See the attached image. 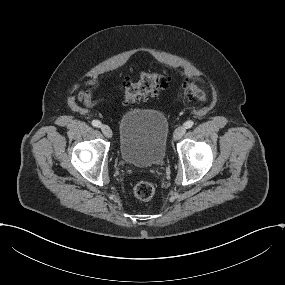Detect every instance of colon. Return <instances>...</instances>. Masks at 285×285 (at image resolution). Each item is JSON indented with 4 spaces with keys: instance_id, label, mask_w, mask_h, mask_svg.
<instances>
[{
    "instance_id": "colon-1",
    "label": "colon",
    "mask_w": 285,
    "mask_h": 285,
    "mask_svg": "<svg viewBox=\"0 0 285 285\" xmlns=\"http://www.w3.org/2000/svg\"><path fill=\"white\" fill-rule=\"evenodd\" d=\"M171 77L165 72L142 73L136 79H128L124 82L123 101L125 104H135L154 96L161 89L168 86ZM184 93L191 102H204L206 93L193 81L184 80ZM156 193V188L149 181H139L133 187L134 197L142 202L151 200Z\"/></svg>"
}]
</instances>
